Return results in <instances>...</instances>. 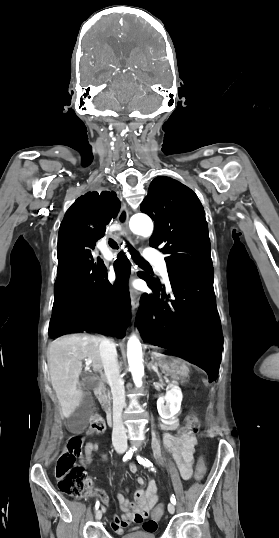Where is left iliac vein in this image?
Here are the masks:
<instances>
[{
    "label": "left iliac vein",
    "mask_w": 279,
    "mask_h": 538,
    "mask_svg": "<svg viewBox=\"0 0 279 538\" xmlns=\"http://www.w3.org/2000/svg\"><path fill=\"white\" fill-rule=\"evenodd\" d=\"M168 511L170 514H173L175 512V506L173 503L168 504Z\"/></svg>",
    "instance_id": "1"
}]
</instances>
